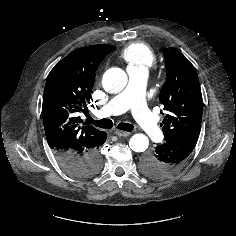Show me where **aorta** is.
I'll use <instances>...</instances> for the list:
<instances>
[{
  "label": "aorta",
  "instance_id": "1",
  "mask_svg": "<svg viewBox=\"0 0 236 236\" xmlns=\"http://www.w3.org/2000/svg\"><path fill=\"white\" fill-rule=\"evenodd\" d=\"M127 74L121 68L113 67L108 69L102 78V85L108 93L116 94L121 92L126 84ZM149 146V139L146 135L138 133L129 140V147L135 152H144Z\"/></svg>",
  "mask_w": 236,
  "mask_h": 236
}]
</instances>
